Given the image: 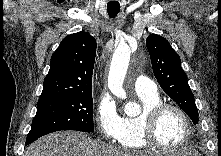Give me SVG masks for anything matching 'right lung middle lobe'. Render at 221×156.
Segmentation results:
<instances>
[{"instance_id": "right-lung-middle-lobe-1", "label": "right lung middle lobe", "mask_w": 221, "mask_h": 156, "mask_svg": "<svg viewBox=\"0 0 221 156\" xmlns=\"http://www.w3.org/2000/svg\"><path fill=\"white\" fill-rule=\"evenodd\" d=\"M60 130L94 131L91 90L40 98L26 144Z\"/></svg>"}]
</instances>
